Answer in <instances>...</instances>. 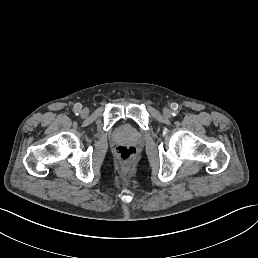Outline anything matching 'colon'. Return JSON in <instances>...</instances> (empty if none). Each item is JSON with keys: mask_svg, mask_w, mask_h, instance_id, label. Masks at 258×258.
<instances>
[{"mask_svg": "<svg viewBox=\"0 0 258 258\" xmlns=\"http://www.w3.org/2000/svg\"><path fill=\"white\" fill-rule=\"evenodd\" d=\"M117 158L124 164L132 162L137 156V150L132 146H118L115 149Z\"/></svg>", "mask_w": 258, "mask_h": 258, "instance_id": "colon-1", "label": "colon"}]
</instances>
